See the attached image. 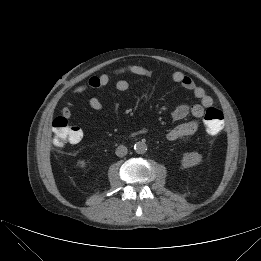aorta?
Instances as JSON below:
<instances>
[{
	"instance_id": "aorta-1",
	"label": "aorta",
	"mask_w": 261,
	"mask_h": 261,
	"mask_svg": "<svg viewBox=\"0 0 261 261\" xmlns=\"http://www.w3.org/2000/svg\"><path fill=\"white\" fill-rule=\"evenodd\" d=\"M134 150L137 154H144L147 151V145L143 141H138L134 145Z\"/></svg>"
}]
</instances>
